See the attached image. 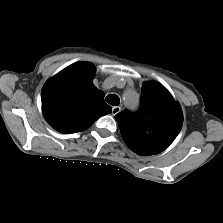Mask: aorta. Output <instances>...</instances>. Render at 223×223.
I'll use <instances>...</instances> for the list:
<instances>
[{
	"mask_svg": "<svg viewBox=\"0 0 223 223\" xmlns=\"http://www.w3.org/2000/svg\"><path fill=\"white\" fill-rule=\"evenodd\" d=\"M124 97L130 107H136L139 104L138 94L131 89L125 92Z\"/></svg>",
	"mask_w": 223,
	"mask_h": 223,
	"instance_id": "762f6f07",
	"label": "aorta"
}]
</instances>
